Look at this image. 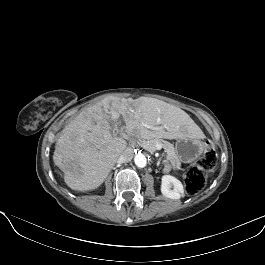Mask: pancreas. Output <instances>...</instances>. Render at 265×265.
Returning <instances> with one entry per match:
<instances>
[{"mask_svg": "<svg viewBox=\"0 0 265 265\" xmlns=\"http://www.w3.org/2000/svg\"><path fill=\"white\" fill-rule=\"evenodd\" d=\"M158 144L161 145L166 152V158L172 164L173 168H179L181 163L176 155L174 146L170 142L159 138L140 141V146L151 153L156 151Z\"/></svg>", "mask_w": 265, "mask_h": 265, "instance_id": "obj_1", "label": "pancreas"}]
</instances>
